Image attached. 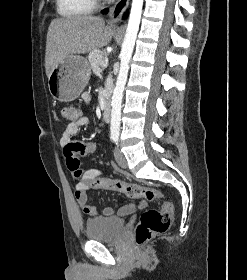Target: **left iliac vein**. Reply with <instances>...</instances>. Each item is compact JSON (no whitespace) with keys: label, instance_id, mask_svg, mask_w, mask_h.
Returning a JSON list of instances; mask_svg holds the SVG:
<instances>
[{"label":"left iliac vein","instance_id":"obj_1","mask_svg":"<svg viewBox=\"0 0 247 280\" xmlns=\"http://www.w3.org/2000/svg\"><path fill=\"white\" fill-rule=\"evenodd\" d=\"M114 156H115L117 164L120 167H122V168H126L127 167L126 158H125L124 154L120 151V149L118 147L114 151Z\"/></svg>","mask_w":247,"mask_h":280}]
</instances>
